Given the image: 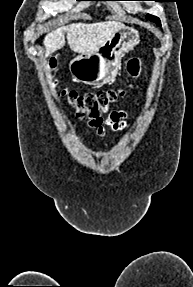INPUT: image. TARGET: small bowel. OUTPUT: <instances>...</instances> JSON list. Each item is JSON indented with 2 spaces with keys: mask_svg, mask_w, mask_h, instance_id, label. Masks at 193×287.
Here are the masks:
<instances>
[{
  "mask_svg": "<svg viewBox=\"0 0 193 287\" xmlns=\"http://www.w3.org/2000/svg\"><path fill=\"white\" fill-rule=\"evenodd\" d=\"M124 116L125 114L122 111H113L106 119L90 120V126L96 130L99 136H105L107 127L115 131H120L125 128L126 123L123 121Z\"/></svg>",
  "mask_w": 193,
  "mask_h": 287,
  "instance_id": "c3829d8e",
  "label": "small bowel"
}]
</instances>
